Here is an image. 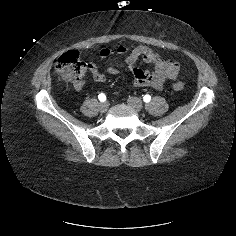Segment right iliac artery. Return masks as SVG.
<instances>
[{"mask_svg": "<svg viewBox=\"0 0 236 236\" xmlns=\"http://www.w3.org/2000/svg\"><path fill=\"white\" fill-rule=\"evenodd\" d=\"M98 99L101 101V102H104L106 101V95L104 93H100L98 95Z\"/></svg>", "mask_w": 236, "mask_h": 236, "instance_id": "1", "label": "right iliac artery"}]
</instances>
